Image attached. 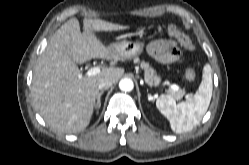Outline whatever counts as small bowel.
Returning a JSON list of instances; mask_svg holds the SVG:
<instances>
[{"label":"small bowel","instance_id":"1","mask_svg":"<svg viewBox=\"0 0 249 165\" xmlns=\"http://www.w3.org/2000/svg\"><path fill=\"white\" fill-rule=\"evenodd\" d=\"M149 53L159 62L167 64L180 61V51L172 40H156L149 44Z\"/></svg>","mask_w":249,"mask_h":165}]
</instances>
